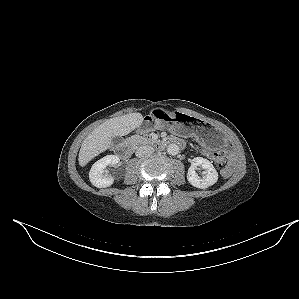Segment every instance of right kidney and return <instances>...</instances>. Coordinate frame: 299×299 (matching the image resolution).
Returning <instances> with one entry per match:
<instances>
[{
  "instance_id": "right-kidney-1",
  "label": "right kidney",
  "mask_w": 299,
  "mask_h": 299,
  "mask_svg": "<svg viewBox=\"0 0 299 299\" xmlns=\"http://www.w3.org/2000/svg\"><path fill=\"white\" fill-rule=\"evenodd\" d=\"M120 159L116 155H107L93 164L89 172L90 182L97 188L109 187L113 184L114 178L105 174L107 166L116 167Z\"/></svg>"
}]
</instances>
